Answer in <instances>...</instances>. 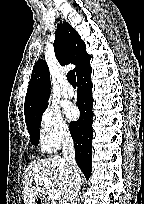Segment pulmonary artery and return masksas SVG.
Here are the masks:
<instances>
[{
    "mask_svg": "<svg viewBox=\"0 0 144 204\" xmlns=\"http://www.w3.org/2000/svg\"><path fill=\"white\" fill-rule=\"evenodd\" d=\"M62 94L66 98H71L74 95V89L69 83H65L62 89Z\"/></svg>",
    "mask_w": 144,
    "mask_h": 204,
    "instance_id": "pulmonary-artery-1",
    "label": "pulmonary artery"
}]
</instances>
